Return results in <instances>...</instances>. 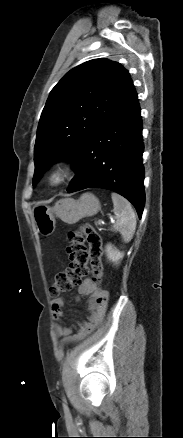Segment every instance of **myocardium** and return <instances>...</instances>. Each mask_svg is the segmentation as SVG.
I'll use <instances>...</instances> for the list:
<instances>
[{
  "instance_id": "obj_1",
  "label": "myocardium",
  "mask_w": 183,
  "mask_h": 438,
  "mask_svg": "<svg viewBox=\"0 0 183 438\" xmlns=\"http://www.w3.org/2000/svg\"><path fill=\"white\" fill-rule=\"evenodd\" d=\"M71 175V167L67 163L56 164L47 175V183L51 187L63 185Z\"/></svg>"
}]
</instances>
